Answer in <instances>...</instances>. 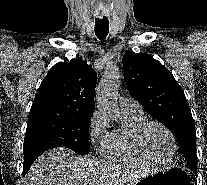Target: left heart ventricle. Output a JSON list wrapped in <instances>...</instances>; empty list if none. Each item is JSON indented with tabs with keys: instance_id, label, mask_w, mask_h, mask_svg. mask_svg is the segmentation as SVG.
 Returning a JSON list of instances; mask_svg holds the SVG:
<instances>
[{
	"instance_id": "1",
	"label": "left heart ventricle",
	"mask_w": 207,
	"mask_h": 185,
	"mask_svg": "<svg viewBox=\"0 0 207 185\" xmlns=\"http://www.w3.org/2000/svg\"><path fill=\"white\" fill-rule=\"evenodd\" d=\"M149 151L158 159L167 160L173 154V143L168 134L157 126L149 128L146 135Z\"/></svg>"
}]
</instances>
